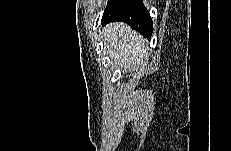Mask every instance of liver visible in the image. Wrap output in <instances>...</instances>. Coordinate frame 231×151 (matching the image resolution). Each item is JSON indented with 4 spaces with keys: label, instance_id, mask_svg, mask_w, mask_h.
I'll return each instance as SVG.
<instances>
[{
    "label": "liver",
    "instance_id": "1",
    "mask_svg": "<svg viewBox=\"0 0 231 151\" xmlns=\"http://www.w3.org/2000/svg\"><path fill=\"white\" fill-rule=\"evenodd\" d=\"M102 38L107 53L125 70L135 69L143 60H147L144 38L125 23L114 22L106 25Z\"/></svg>",
    "mask_w": 231,
    "mask_h": 151
}]
</instances>
